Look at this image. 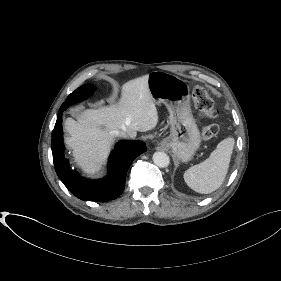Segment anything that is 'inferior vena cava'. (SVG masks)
I'll return each mask as SVG.
<instances>
[{
	"mask_svg": "<svg viewBox=\"0 0 281 281\" xmlns=\"http://www.w3.org/2000/svg\"><path fill=\"white\" fill-rule=\"evenodd\" d=\"M115 134L122 138H134V136L129 132H127L126 130H117Z\"/></svg>",
	"mask_w": 281,
	"mask_h": 281,
	"instance_id": "1",
	"label": "inferior vena cava"
}]
</instances>
